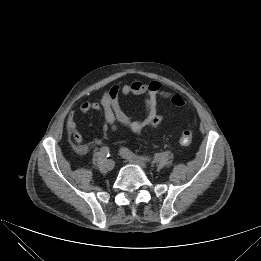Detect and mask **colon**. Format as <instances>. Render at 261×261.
<instances>
[{"label": "colon", "instance_id": "colon-1", "mask_svg": "<svg viewBox=\"0 0 261 261\" xmlns=\"http://www.w3.org/2000/svg\"><path fill=\"white\" fill-rule=\"evenodd\" d=\"M171 103L175 106H183L185 104V101L183 100V98L179 95H174L171 98ZM193 140V135L191 130L186 129L182 132L180 139H179V143L181 146H188L192 143Z\"/></svg>", "mask_w": 261, "mask_h": 261}]
</instances>
